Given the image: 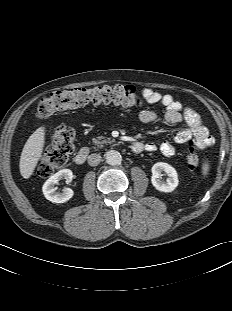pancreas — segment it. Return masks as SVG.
I'll return each mask as SVG.
<instances>
[{
    "label": "pancreas",
    "mask_w": 232,
    "mask_h": 311,
    "mask_svg": "<svg viewBox=\"0 0 232 311\" xmlns=\"http://www.w3.org/2000/svg\"><path fill=\"white\" fill-rule=\"evenodd\" d=\"M111 142H113V140L111 141L109 138L106 140L104 139V137H98L97 139H93V143L99 147H103V144Z\"/></svg>",
    "instance_id": "obj_1"
}]
</instances>
